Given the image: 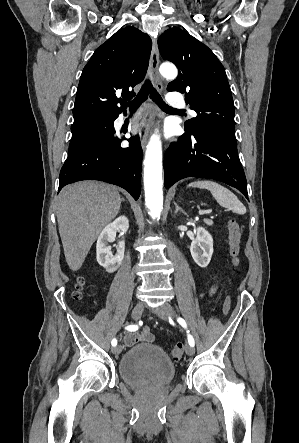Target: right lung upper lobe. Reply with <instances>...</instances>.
Listing matches in <instances>:
<instances>
[{"label":"right lung upper lobe","mask_w":299,"mask_h":443,"mask_svg":"<svg viewBox=\"0 0 299 443\" xmlns=\"http://www.w3.org/2000/svg\"><path fill=\"white\" fill-rule=\"evenodd\" d=\"M150 37L135 27H126L96 49L83 69L73 108L74 123L120 114L125 102L135 96L148 68Z\"/></svg>","instance_id":"right-lung-upper-lobe-1"}]
</instances>
